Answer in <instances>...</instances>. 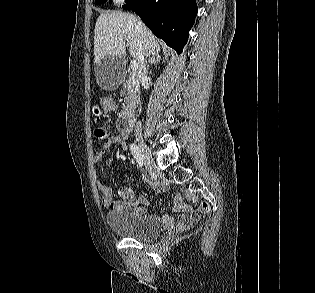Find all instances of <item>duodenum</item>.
Masks as SVG:
<instances>
[{
  "label": "duodenum",
  "instance_id": "obj_1",
  "mask_svg": "<svg viewBox=\"0 0 315 293\" xmlns=\"http://www.w3.org/2000/svg\"><path fill=\"white\" fill-rule=\"evenodd\" d=\"M134 116L131 112L124 113L118 120V128L121 132L128 133L132 130Z\"/></svg>",
  "mask_w": 315,
  "mask_h": 293
}]
</instances>
